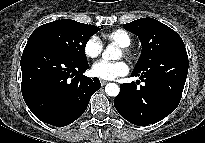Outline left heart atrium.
<instances>
[{
  "instance_id": "obj_1",
  "label": "left heart atrium",
  "mask_w": 205,
  "mask_h": 143,
  "mask_svg": "<svg viewBox=\"0 0 205 143\" xmlns=\"http://www.w3.org/2000/svg\"><path fill=\"white\" fill-rule=\"evenodd\" d=\"M128 71V65L122 60L114 62L101 60L94 63L91 68L93 76L104 80H113L127 74Z\"/></svg>"
}]
</instances>
